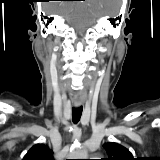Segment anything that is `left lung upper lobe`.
I'll list each match as a JSON object with an SVG mask.
<instances>
[{
	"mask_svg": "<svg viewBox=\"0 0 160 160\" xmlns=\"http://www.w3.org/2000/svg\"><path fill=\"white\" fill-rule=\"evenodd\" d=\"M103 147L109 158H104L102 160H134L131 152L117 143H105Z\"/></svg>",
	"mask_w": 160,
	"mask_h": 160,
	"instance_id": "obj_1",
	"label": "left lung upper lobe"
}]
</instances>
